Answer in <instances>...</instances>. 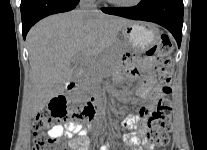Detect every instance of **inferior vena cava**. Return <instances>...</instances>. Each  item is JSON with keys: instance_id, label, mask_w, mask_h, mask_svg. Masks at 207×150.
<instances>
[{"instance_id": "obj_1", "label": "inferior vena cava", "mask_w": 207, "mask_h": 150, "mask_svg": "<svg viewBox=\"0 0 207 150\" xmlns=\"http://www.w3.org/2000/svg\"><path fill=\"white\" fill-rule=\"evenodd\" d=\"M80 10L84 13L98 12L95 0H81L79 3Z\"/></svg>"}]
</instances>
